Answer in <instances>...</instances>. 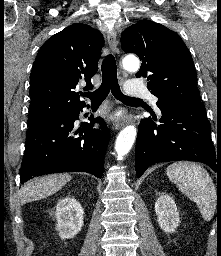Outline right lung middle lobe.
<instances>
[{
    "instance_id": "obj_1",
    "label": "right lung middle lobe",
    "mask_w": 221,
    "mask_h": 256,
    "mask_svg": "<svg viewBox=\"0 0 221 256\" xmlns=\"http://www.w3.org/2000/svg\"><path fill=\"white\" fill-rule=\"evenodd\" d=\"M48 118L49 117H46L45 114H37V115L31 116L28 118V127L33 126L39 122H42Z\"/></svg>"
}]
</instances>
